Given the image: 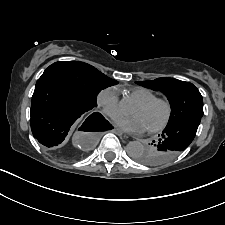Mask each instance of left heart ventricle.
<instances>
[{"instance_id": "b2bd125f", "label": "left heart ventricle", "mask_w": 225, "mask_h": 225, "mask_svg": "<svg viewBox=\"0 0 225 225\" xmlns=\"http://www.w3.org/2000/svg\"><path fill=\"white\" fill-rule=\"evenodd\" d=\"M132 115L141 117L147 128H151L159 125L164 120L166 107L161 103L154 104L147 108L135 105L132 110Z\"/></svg>"}]
</instances>
